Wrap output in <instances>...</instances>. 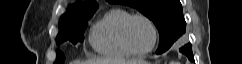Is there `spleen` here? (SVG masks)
Returning <instances> with one entry per match:
<instances>
[{
    "instance_id": "3e777b00",
    "label": "spleen",
    "mask_w": 242,
    "mask_h": 64,
    "mask_svg": "<svg viewBox=\"0 0 242 64\" xmlns=\"http://www.w3.org/2000/svg\"><path fill=\"white\" fill-rule=\"evenodd\" d=\"M171 64H177L176 62H171Z\"/></svg>"
}]
</instances>
